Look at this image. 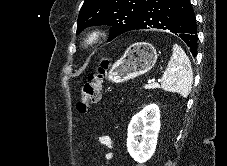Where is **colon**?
Segmentation results:
<instances>
[{
  "label": "colon",
  "mask_w": 227,
  "mask_h": 166,
  "mask_svg": "<svg viewBox=\"0 0 227 166\" xmlns=\"http://www.w3.org/2000/svg\"><path fill=\"white\" fill-rule=\"evenodd\" d=\"M102 90V69L89 76L82 85L80 98L77 102L79 112H86L95 105L101 98Z\"/></svg>",
  "instance_id": "1"
}]
</instances>
